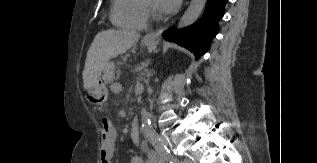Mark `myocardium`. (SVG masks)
Masks as SVG:
<instances>
[{"label":"myocardium","instance_id":"obj_1","mask_svg":"<svg viewBox=\"0 0 317 163\" xmlns=\"http://www.w3.org/2000/svg\"><path fill=\"white\" fill-rule=\"evenodd\" d=\"M142 3H143V8L145 10V13L153 19H158V16L155 13V11L153 10V8L151 7V5L149 3H147L146 0H143Z\"/></svg>","mask_w":317,"mask_h":163}]
</instances>
